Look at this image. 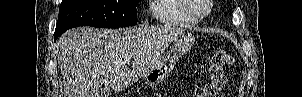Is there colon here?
Listing matches in <instances>:
<instances>
[{"mask_svg":"<svg viewBox=\"0 0 302 97\" xmlns=\"http://www.w3.org/2000/svg\"><path fill=\"white\" fill-rule=\"evenodd\" d=\"M230 53L218 51L213 54L209 69L210 81L196 90V97H215L221 92L226 83L224 67L232 64Z\"/></svg>","mask_w":302,"mask_h":97,"instance_id":"obj_1","label":"colon"}]
</instances>
